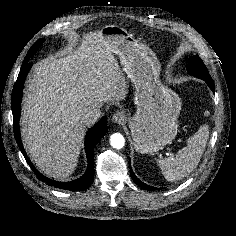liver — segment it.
Masks as SVG:
<instances>
[{
    "mask_svg": "<svg viewBox=\"0 0 236 236\" xmlns=\"http://www.w3.org/2000/svg\"><path fill=\"white\" fill-rule=\"evenodd\" d=\"M77 48L38 62L22 104L24 147L46 176L64 180L75 170L89 106L121 101L127 82L99 31L83 34Z\"/></svg>",
    "mask_w": 236,
    "mask_h": 236,
    "instance_id": "obj_1",
    "label": "liver"
}]
</instances>
